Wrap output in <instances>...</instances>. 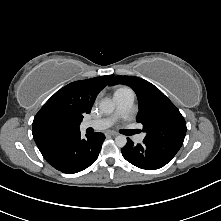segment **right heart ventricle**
Listing matches in <instances>:
<instances>
[{
    "instance_id": "e07e8e85",
    "label": "right heart ventricle",
    "mask_w": 221,
    "mask_h": 221,
    "mask_svg": "<svg viewBox=\"0 0 221 221\" xmlns=\"http://www.w3.org/2000/svg\"><path fill=\"white\" fill-rule=\"evenodd\" d=\"M130 91H131L130 88H128V87H126V86H121V87H119V88L116 89L115 95H116V94H122V93L130 92Z\"/></svg>"
}]
</instances>
